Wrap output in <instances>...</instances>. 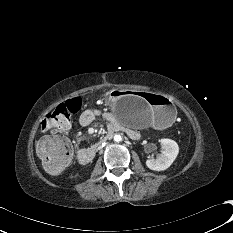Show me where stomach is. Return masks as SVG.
<instances>
[{"label":"stomach","instance_id":"stomach-1","mask_svg":"<svg viewBox=\"0 0 233 233\" xmlns=\"http://www.w3.org/2000/svg\"><path fill=\"white\" fill-rule=\"evenodd\" d=\"M106 102L116 120L137 128L165 126L173 123L177 115L170 99L154 93L114 89L108 92Z\"/></svg>","mask_w":233,"mask_h":233}]
</instances>
